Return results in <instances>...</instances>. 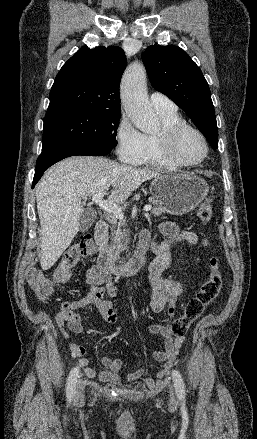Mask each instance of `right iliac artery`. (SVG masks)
Masks as SVG:
<instances>
[{
	"instance_id": "right-iliac-artery-1",
	"label": "right iliac artery",
	"mask_w": 257,
	"mask_h": 439,
	"mask_svg": "<svg viewBox=\"0 0 257 439\" xmlns=\"http://www.w3.org/2000/svg\"><path fill=\"white\" fill-rule=\"evenodd\" d=\"M78 374H79V367L78 366L74 367L70 371V374H69V377H68V381H67V387H66V389H67V398L69 400H71L74 397V395H75Z\"/></svg>"
}]
</instances>
